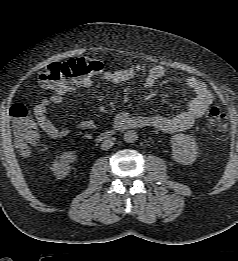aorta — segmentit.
<instances>
[{"label": "aorta", "instance_id": "762f6f07", "mask_svg": "<svg viewBox=\"0 0 238 261\" xmlns=\"http://www.w3.org/2000/svg\"><path fill=\"white\" fill-rule=\"evenodd\" d=\"M138 138V134L134 130H127L124 133V141L127 143H134Z\"/></svg>", "mask_w": 238, "mask_h": 261}]
</instances>
